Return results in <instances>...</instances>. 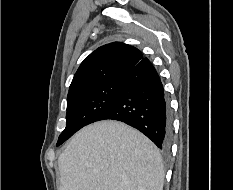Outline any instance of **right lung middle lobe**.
Listing matches in <instances>:
<instances>
[{
  "label": "right lung middle lobe",
  "mask_w": 234,
  "mask_h": 190,
  "mask_svg": "<svg viewBox=\"0 0 234 190\" xmlns=\"http://www.w3.org/2000/svg\"><path fill=\"white\" fill-rule=\"evenodd\" d=\"M122 82L123 79L113 80L68 96L66 128L60 134L57 146L82 127L98 121L115 102Z\"/></svg>",
  "instance_id": "dd1d6c3e"
}]
</instances>
